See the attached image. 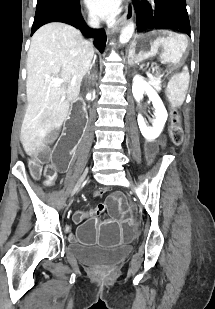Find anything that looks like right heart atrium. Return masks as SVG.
Instances as JSON below:
<instances>
[{
	"instance_id": "obj_1",
	"label": "right heart atrium",
	"mask_w": 215,
	"mask_h": 309,
	"mask_svg": "<svg viewBox=\"0 0 215 309\" xmlns=\"http://www.w3.org/2000/svg\"><path fill=\"white\" fill-rule=\"evenodd\" d=\"M88 24H89V25H95V24H96V21H95L93 18H89V19H88Z\"/></svg>"
}]
</instances>
